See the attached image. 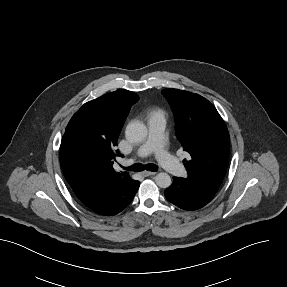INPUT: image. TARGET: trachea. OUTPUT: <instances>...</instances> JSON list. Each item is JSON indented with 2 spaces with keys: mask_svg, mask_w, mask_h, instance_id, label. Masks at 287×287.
Masks as SVG:
<instances>
[{
  "mask_svg": "<svg viewBox=\"0 0 287 287\" xmlns=\"http://www.w3.org/2000/svg\"><path fill=\"white\" fill-rule=\"evenodd\" d=\"M123 169L127 170V171H134V172H140V171H144V170H147V171H157L158 170V166L155 165V164H147V165H143L141 163H136V164H133L132 166H129V167H123Z\"/></svg>",
  "mask_w": 287,
  "mask_h": 287,
  "instance_id": "trachea-1",
  "label": "trachea"
}]
</instances>
